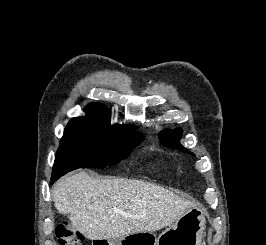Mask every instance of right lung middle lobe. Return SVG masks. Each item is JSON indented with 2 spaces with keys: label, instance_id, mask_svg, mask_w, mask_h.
Instances as JSON below:
<instances>
[{
  "label": "right lung middle lobe",
  "instance_id": "dd1d6c3e",
  "mask_svg": "<svg viewBox=\"0 0 266 245\" xmlns=\"http://www.w3.org/2000/svg\"><path fill=\"white\" fill-rule=\"evenodd\" d=\"M136 126L110 125L109 121L74 118L65 128L56 154L53 175L77 168H104L127 157L144 138Z\"/></svg>",
  "mask_w": 266,
  "mask_h": 245
}]
</instances>
